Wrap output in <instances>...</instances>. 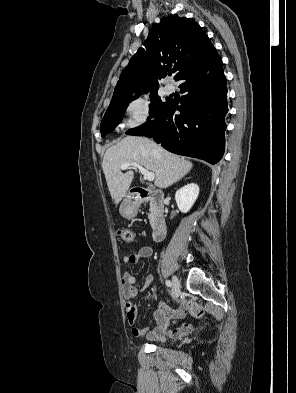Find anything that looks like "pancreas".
Masks as SVG:
<instances>
[{
    "mask_svg": "<svg viewBox=\"0 0 296 393\" xmlns=\"http://www.w3.org/2000/svg\"><path fill=\"white\" fill-rule=\"evenodd\" d=\"M148 218H149V220H150V222H151V221H152V211H151V213L149 214Z\"/></svg>",
    "mask_w": 296,
    "mask_h": 393,
    "instance_id": "1",
    "label": "pancreas"
}]
</instances>
